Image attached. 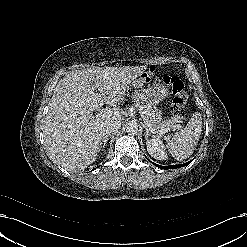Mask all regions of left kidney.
I'll use <instances>...</instances> for the list:
<instances>
[{
    "instance_id": "1",
    "label": "left kidney",
    "mask_w": 247,
    "mask_h": 247,
    "mask_svg": "<svg viewBox=\"0 0 247 247\" xmlns=\"http://www.w3.org/2000/svg\"><path fill=\"white\" fill-rule=\"evenodd\" d=\"M147 151L151 157L157 160H166L167 153L165 152V147L161 139L152 138L146 141Z\"/></svg>"
}]
</instances>
